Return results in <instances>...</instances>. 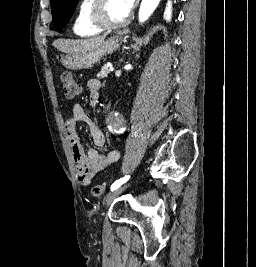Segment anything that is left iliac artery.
Listing matches in <instances>:
<instances>
[{
    "mask_svg": "<svg viewBox=\"0 0 256 267\" xmlns=\"http://www.w3.org/2000/svg\"><path fill=\"white\" fill-rule=\"evenodd\" d=\"M130 178L129 175L120 178L119 180L115 181L112 185H111V191H114L115 189L119 188L122 184H124L126 181H128V179Z\"/></svg>",
    "mask_w": 256,
    "mask_h": 267,
    "instance_id": "obj_1",
    "label": "left iliac artery"
}]
</instances>
